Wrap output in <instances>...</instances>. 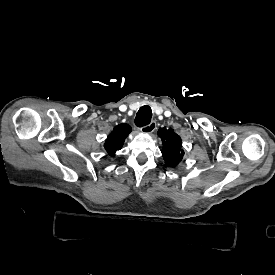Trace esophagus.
Wrapping results in <instances>:
<instances>
[{"instance_id":"1","label":"esophagus","mask_w":275,"mask_h":275,"mask_svg":"<svg viewBox=\"0 0 275 275\" xmlns=\"http://www.w3.org/2000/svg\"><path fill=\"white\" fill-rule=\"evenodd\" d=\"M156 127H157L156 121H152L150 124L144 126L142 128V131L146 132V133H152V132H154Z\"/></svg>"}]
</instances>
